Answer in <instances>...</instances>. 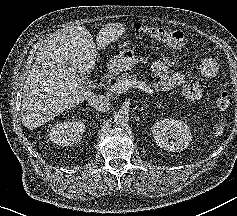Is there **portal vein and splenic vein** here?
<instances>
[{
  "label": "portal vein and splenic vein",
  "instance_id": "portal-vein-and-splenic-vein-1",
  "mask_svg": "<svg viewBox=\"0 0 237 216\" xmlns=\"http://www.w3.org/2000/svg\"><path fill=\"white\" fill-rule=\"evenodd\" d=\"M127 88H129L128 83L117 82L113 85H110V92L121 93L122 91L126 90Z\"/></svg>",
  "mask_w": 237,
  "mask_h": 216
}]
</instances>
